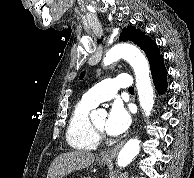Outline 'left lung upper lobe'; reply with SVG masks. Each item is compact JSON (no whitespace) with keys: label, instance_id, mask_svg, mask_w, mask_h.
<instances>
[{"label":"left lung upper lobe","instance_id":"obj_1","mask_svg":"<svg viewBox=\"0 0 194 178\" xmlns=\"http://www.w3.org/2000/svg\"><path fill=\"white\" fill-rule=\"evenodd\" d=\"M119 40L132 41L138 45L145 52L150 63V68L162 57L156 43L141 30H138L133 26L124 28L120 34ZM83 76L84 73L81 74L80 78Z\"/></svg>","mask_w":194,"mask_h":178}]
</instances>
